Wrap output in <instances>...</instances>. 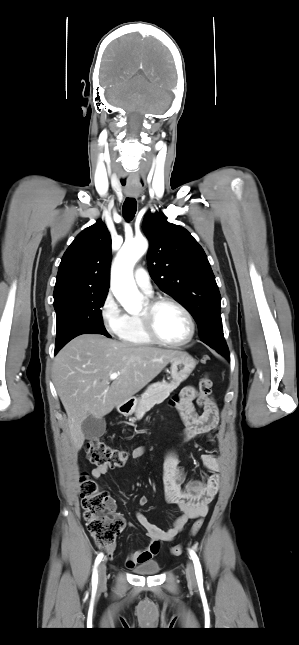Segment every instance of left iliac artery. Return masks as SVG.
<instances>
[{"label": "left iliac artery", "mask_w": 299, "mask_h": 645, "mask_svg": "<svg viewBox=\"0 0 299 645\" xmlns=\"http://www.w3.org/2000/svg\"><path fill=\"white\" fill-rule=\"evenodd\" d=\"M189 553L194 563L196 578L198 581H202V568L199 558L193 550H189Z\"/></svg>", "instance_id": "44dca946"}]
</instances>
